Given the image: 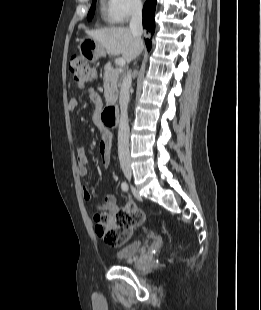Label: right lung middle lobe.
I'll list each match as a JSON object with an SVG mask.
<instances>
[{"label":"right lung middle lobe","mask_w":261,"mask_h":310,"mask_svg":"<svg viewBox=\"0 0 261 310\" xmlns=\"http://www.w3.org/2000/svg\"><path fill=\"white\" fill-rule=\"evenodd\" d=\"M95 6H96V0H93L92 6L89 10V13L87 15V19L90 21L94 15V11H95Z\"/></svg>","instance_id":"dd1d6c3e"}]
</instances>
